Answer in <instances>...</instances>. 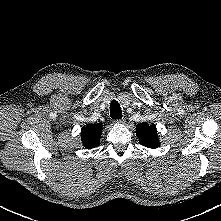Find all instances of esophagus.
Instances as JSON below:
<instances>
[{"instance_id":"esophagus-1","label":"esophagus","mask_w":221,"mask_h":221,"mask_svg":"<svg viewBox=\"0 0 221 221\" xmlns=\"http://www.w3.org/2000/svg\"><path fill=\"white\" fill-rule=\"evenodd\" d=\"M124 122H125V120L123 118L114 120V123H116V124L124 123Z\"/></svg>"}]
</instances>
